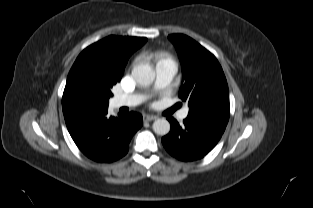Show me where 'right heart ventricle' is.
I'll return each mask as SVG.
<instances>
[{
  "label": "right heart ventricle",
  "mask_w": 313,
  "mask_h": 208,
  "mask_svg": "<svg viewBox=\"0 0 313 208\" xmlns=\"http://www.w3.org/2000/svg\"><path fill=\"white\" fill-rule=\"evenodd\" d=\"M167 60H169L167 57L162 56V57H160V58L157 60V64H158V63H161V62H163V61H167ZM157 64H156V65H157Z\"/></svg>",
  "instance_id": "1"
}]
</instances>
